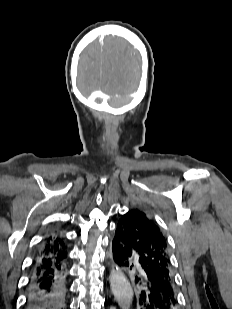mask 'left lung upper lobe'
Segmentation results:
<instances>
[{
	"label": "left lung upper lobe",
	"mask_w": 232,
	"mask_h": 309,
	"mask_svg": "<svg viewBox=\"0 0 232 309\" xmlns=\"http://www.w3.org/2000/svg\"><path fill=\"white\" fill-rule=\"evenodd\" d=\"M117 226L134 251L149 267L159 270L168 280L176 297L167 239L157 223L143 211L131 209L119 219Z\"/></svg>",
	"instance_id": "5c2ea615"
}]
</instances>
